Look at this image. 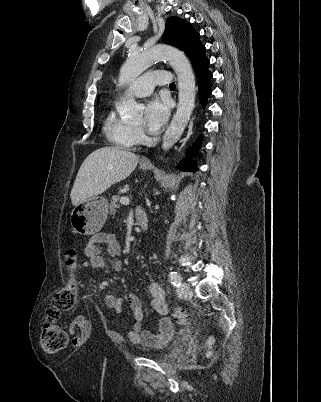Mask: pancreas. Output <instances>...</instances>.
I'll return each mask as SVG.
<instances>
[{"mask_svg":"<svg viewBox=\"0 0 321 402\" xmlns=\"http://www.w3.org/2000/svg\"><path fill=\"white\" fill-rule=\"evenodd\" d=\"M119 200V196L118 195H114L112 196L111 202H110V214L114 215L116 213V208H118L117 206V201Z\"/></svg>","mask_w":321,"mask_h":402,"instance_id":"cf45deb5","label":"pancreas"}]
</instances>
